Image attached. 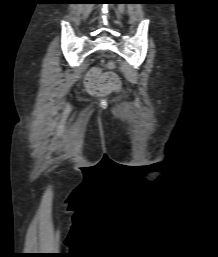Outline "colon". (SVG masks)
<instances>
[{
  "label": "colon",
  "mask_w": 218,
  "mask_h": 257,
  "mask_svg": "<svg viewBox=\"0 0 218 257\" xmlns=\"http://www.w3.org/2000/svg\"><path fill=\"white\" fill-rule=\"evenodd\" d=\"M86 84L92 93L117 91L121 87L120 79L116 74L112 72L100 74L96 69L88 74Z\"/></svg>",
  "instance_id": "obj_1"
}]
</instances>
